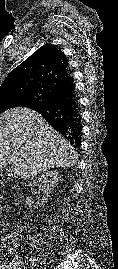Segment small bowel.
I'll use <instances>...</instances> for the list:
<instances>
[{
  "instance_id": "obj_1",
  "label": "small bowel",
  "mask_w": 118,
  "mask_h": 269,
  "mask_svg": "<svg viewBox=\"0 0 118 269\" xmlns=\"http://www.w3.org/2000/svg\"><path fill=\"white\" fill-rule=\"evenodd\" d=\"M11 269H22V267L20 265L16 264Z\"/></svg>"
}]
</instances>
